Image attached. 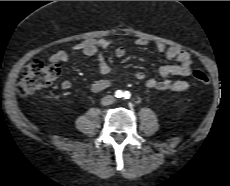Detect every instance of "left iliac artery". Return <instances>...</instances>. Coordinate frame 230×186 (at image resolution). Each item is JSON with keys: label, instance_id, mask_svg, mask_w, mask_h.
Instances as JSON below:
<instances>
[{"label": "left iliac artery", "instance_id": "left-iliac-artery-1", "mask_svg": "<svg viewBox=\"0 0 230 186\" xmlns=\"http://www.w3.org/2000/svg\"><path fill=\"white\" fill-rule=\"evenodd\" d=\"M123 96H124L126 99H128V98H130L131 94H130V92L125 91L124 94H123Z\"/></svg>", "mask_w": 230, "mask_h": 186}]
</instances>
